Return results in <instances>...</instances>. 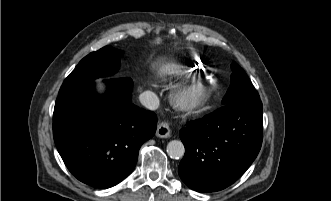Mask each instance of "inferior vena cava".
Masks as SVG:
<instances>
[{"instance_id": "inferior-vena-cava-1", "label": "inferior vena cava", "mask_w": 331, "mask_h": 201, "mask_svg": "<svg viewBox=\"0 0 331 201\" xmlns=\"http://www.w3.org/2000/svg\"><path fill=\"white\" fill-rule=\"evenodd\" d=\"M140 102L149 110H156L159 107L158 96L151 91H145L139 96Z\"/></svg>"}]
</instances>
